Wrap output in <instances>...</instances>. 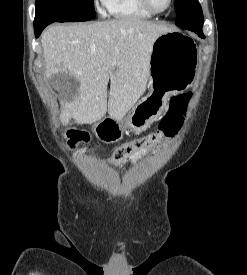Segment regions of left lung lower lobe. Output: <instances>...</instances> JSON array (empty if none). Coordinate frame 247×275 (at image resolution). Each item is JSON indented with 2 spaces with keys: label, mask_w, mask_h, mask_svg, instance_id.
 Masks as SVG:
<instances>
[{
  "label": "left lung lower lobe",
  "mask_w": 247,
  "mask_h": 275,
  "mask_svg": "<svg viewBox=\"0 0 247 275\" xmlns=\"http://www.w3.org/2000/svg\"><path fill=\"white\" fill-rule=\"evenodd\" d=\"M187 30H191V31L195 32L199 37L205 38L202 30H199V29H187Z\"/></svg>",
  "instance_id": "obj_1"
}]
</instances>
